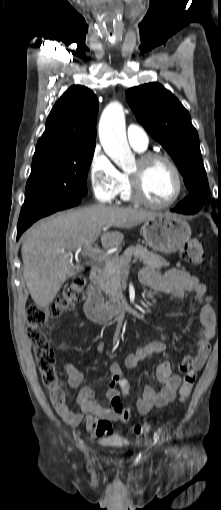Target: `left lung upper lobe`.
<instances>
[{"instance_id": "1", "label": "left lung upper lobe", "mask_w": 221, "mask_h": 510, "mask_svg": "<svg viewBox=\"0 0 221 510\" xmlns=\"http://www.w3.org/2000/svg\"><path fill=\"white\" fill-rule=\"evenodd\" d=\"M126 99L137 120L166 149L183 175L190 192L183 202H194L201 209L209 185L198 134L188 111L159 83L130 88Z\"/></svg>"}]
</instances>
